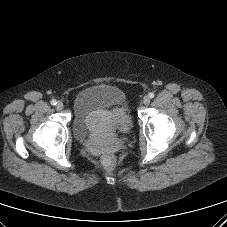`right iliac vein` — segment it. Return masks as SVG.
Here are the masks:
<instances>
[{
  "mask_svg": "<svg viewBox=\"0 0 227 227\" xmlns=\"http://www.w3.org/2000/svg\"><path fill=\"white\" fill-rule=\"evenodd\" d=\"M64 107L63 103L61 101H58L57 104H56V109L57 110H62Z\"/></svg>",
  "mask_w": 227,
  "mask_h": 227,
  "instance_id": "right-iliac-vein-1",
  "label": "right iliac vein"
}]
</instances>
